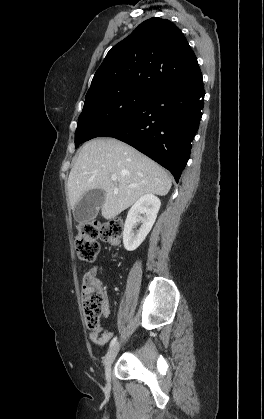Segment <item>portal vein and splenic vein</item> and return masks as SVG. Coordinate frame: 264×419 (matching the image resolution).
<instances>
[{
    "instance_id": "18ae733b",
    "label": "portal vein and splenic vein",
    "mask_w": 264,
    "mask_h": 419,
    "mask_svg": "<svg viewBox=\"0 0 264 419\" xmlns=\"http://www.w3.org/2000/svg\"><path fill=\"white\" fill-rule=\"evenodd\" d=\"M111 179H112V180H116V176H115V175H112V176H111Z\"/></svg>"
}]
</instances>
